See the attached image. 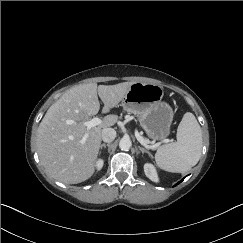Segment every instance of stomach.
<instances>
[{
	"mask_svg": "<svg viewBox=\"0 0 243 243\" xmlns=\"http://www.w3.org/2000/svg\"><path fill=\"white\" fill-rule=\"evenodd\" d=\"M164 90L153 83L134 82L131 84L122 107L134 114L140 126L152 140H163L170 134L173 121L171 106L162 101Z\"/></svg>",
	"mask_w": 243,
	"mask_h": 243,
	"instance_id": "0dacf381",
	"label": "stomach"
}]
</instances>
